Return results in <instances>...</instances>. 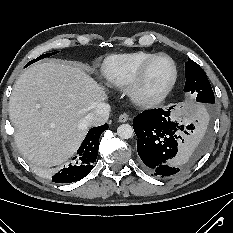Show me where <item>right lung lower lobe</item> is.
Here are the masks:
<instances>
[{
  "mask_svg": "<svg viewBox=\"0 0 233 233\" xmlns=\"http://www.w3.org/2000/svg\"><path fill=\"white\" fill-rule=\"evenodd\" d=\"M108 124L92 128L86 135L72 162L52 177L56 183H70L83 179L90 173L98 154L99 137Z\"/></svg>",
  "mask_w": 233,
  "mask_h": 233,
  "instance_id": "right-lung-lower-lobe-1",
  "label": "right lung lower lobe"
}]
</instances>
